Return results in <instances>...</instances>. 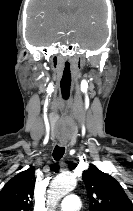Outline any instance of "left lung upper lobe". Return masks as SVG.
I'll return each instance as SVG.
<instances>
[{
    "label": "left lung upper lobe",
    "instance_id": "left-lung-upper-lobe-1",
    "mask_svg": "<svg viewBox=\"0 0 133 211\" xmlns=\"http://www.w3.org/2000/svg\"><path fill=\"white\" fill-rule=\"evenodd\" d=\"M90 211H133L132 202L121 185L110 175L90 165L83 172Z\"/></svg>",
    "mask_w": 133,
    "mask_h": 211
}]
</instances>
